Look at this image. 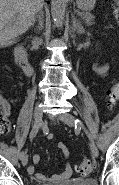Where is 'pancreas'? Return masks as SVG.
<instances>
[{
    "mask_svg": "<svg viewBox=\"0 0 119 185\" xmlns=\"http://www.w3.org/2000/svg\"><path fill=\"white\" fill-rule=\"evenodd\" d=\"M83 20L85 21V23L90 26L92 24V21L94 19V15H92L91 13H85L82 15Z\"/></svg>",
    "mask_w": 119,
    "mask_h": 185,
    "instance_id": "obj_1",
    "label": "pancreas"
}]
</instances>
